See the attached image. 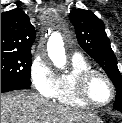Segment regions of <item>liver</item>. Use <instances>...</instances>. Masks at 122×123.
I'll list each match as a JSON object with an SVG mask.
<instances>
[{
	"label": "liver",
	"instance_id": "liver-1",
	"mask_svg": "<svg viewBox=\"0 0 122 123\" xmlns=\"http://www.w3.org/2000/svg\"><path fill=\"white\" fill-rule=\"evenodd\" d=\"M101 121L92 112L51 102L25 90L1 95V123H89Z\"/></svg>",
	"mask_w": 122,
	"mask_h": 123
}]
</instances>
